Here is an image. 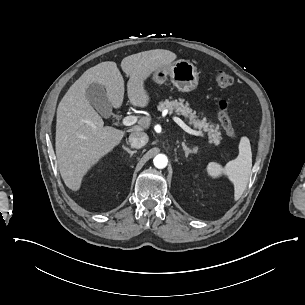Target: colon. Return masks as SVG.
Instances as JSON below:
<instances>
[{"label": "colon", "mask_w": 305, "mask_h": 305, "mask_svg": "<svg viewBox=\"0 0 305 305\" xmlns=\"http://www.w3.org/2000/svg\"><path fill=\"white\" fill-rule=\"evenodd\" d=\"M213 76L214 82L219 88H227L232 84V77L226 70L218 69L214 72ZM217 118L224 133L233 140H238L239 136L232 124L228 105L225 101H220L218 103Z\"/></svg>", "instance_id": "obj_1"}]
</instances>
